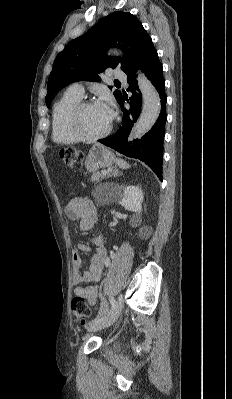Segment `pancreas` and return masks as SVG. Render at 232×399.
Instances as JSON below:
<instances>
[{
  "mask_svg": "<svg viewBox=\"0 0 232 399\" xmlns=\"http://www.w3.org/2000/svg\"><path fill=\"white\" fill-rule=\"evenodd\" d=\"M103 176H105V174H101V172H93L91 176V182H95V184H97V182L102 180Z\"/></svg>",
  "mask_w": 232,
  "mask_h": 399,
  "instance_id": "1",
  "label": "pancreas"
}]
</instances>
